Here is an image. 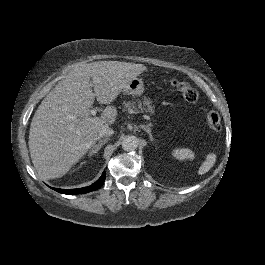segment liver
Listing matches in <instances>:
<instances>
[{"label": "liver", "mask_w": 265, "mask_h": 265, "mask_svg": "<svg viewBox=\"0 0 265 265\" xmlns=\"http://www.w3.org/2000/svg\"><path fill=\"white\" fill-rule=\"evenodd\" d=\"M145 70L142 64L93 62L75 67L55 86L36 110L29 131L30 155L40 177L65 175L96 143L100 128L115 122L113 106H107L101 117H90L95 97L109 104Z\"/></svg>", "instance_id": "6515ba94"}]
</instances>
